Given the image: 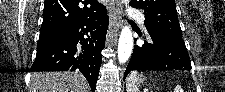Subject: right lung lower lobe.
Returning <instances> with one entry per match:
<instances>
[{"label": "right lung lower lobe", "mask_w": 225, "mask_h": 92, "mask_svg": "<svg viewBox=\"0 0 225 92\" xmlns=\"http://www.w3.org/2000/svg\"><path fill=\"white\" fill-rule=\"evenodd\" d=\"M108 24L105 8L96 17L64 29L60 36L39 40L31 71L78 70L95 92ZM78 43L81 47L77 46Z\"/></svg>", "instance_id": "obj_1"}]
</instances>
